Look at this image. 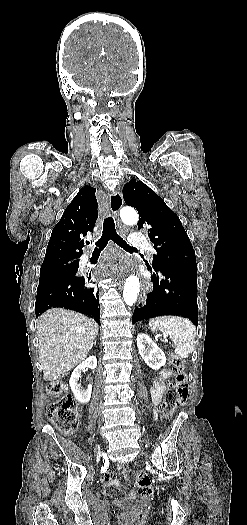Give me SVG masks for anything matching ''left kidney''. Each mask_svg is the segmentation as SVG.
<instances>
[{"mask_svg":"<svg viewBox=\"0 0 247 525\" xmlns=\"http://www.w3.org/2000/svg\"><path fill=\"white\" fill-rule=\"evenodd\" d=\"M137 347L138 351L143 359L145 361L146 365L150 367V369H155V371H158L160 367H164L166 363V357L157 347L156 343H153L152 339L148 337V335H145V333H139L137 335Z\"/></svg>","mask_w":247,"mask_h":525,"instance_id":"left-kidney-1","label":"left kidney"}]
</instances>
